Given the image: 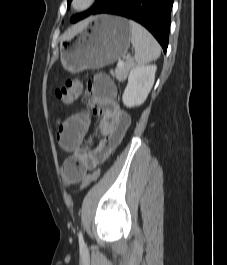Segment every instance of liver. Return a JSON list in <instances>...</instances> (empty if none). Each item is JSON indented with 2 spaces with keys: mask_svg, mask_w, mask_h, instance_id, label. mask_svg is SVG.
I'll use <instances>...</instances> for the list:
<instances>
[{
  "mask_svg": "<svg viewBox=\"0 0 227 265\" xmlns=\"http://www.w3.org/2000/svg\"><path fill=\"white\" fill-rule=\"evenodd\" d=\"M84 27V24L77 25L71 29H69L66 33L61 37L62 40L71 39L78 31H80Z\"/></svg>",
  "mask_w": 227,
  "mask_h": 265,
  "instance_id": "liver-1",
  "label": "liver"
}]
</instances>
